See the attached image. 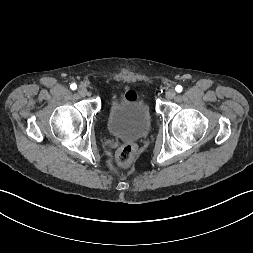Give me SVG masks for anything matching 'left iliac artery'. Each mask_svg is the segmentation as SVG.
I'll use <instances>...</instances> for the list:
<instances>
[{"mask_svg": "<svg viewBox=\"0 0 253 253\" xmlns=\"http://www.w3.org/2000/svg\"><path fill=\"white\" fill-rule=\"evenodd\" d=\"M182 86L181 85H177L176 87H175V90H176V92H178V93H180V92H182Z\"/></svg>", "mask_w": 253, "mask_h": 253, "instance_id": "obj_1", "label": "left iliac artery"}]
</instances>
